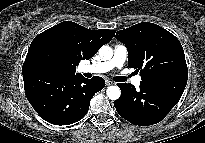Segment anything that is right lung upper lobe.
Masks as SVG:
<instances>
[{
    "label": "right lung upper lobe",
    "instance_id": "1",
    "mask_svg": "<svg viewBox=\"0 0 205 143\" xmlns=\"http://www.w3.org/2000/svg\"><path fill=\"white\" fill-rule=\"evenodd\" d=\"M115 32L107 29L90 30L75 22L64 21L42 32L32 42L46 37L62 41L72 51L75 67L71 73H75L80 60L93 57L102 45L113 38ZM29 63L26 59L23 66Z\"/></svg>",
    "mask_w": 205,
    "mask_h": 143
}]
</instances>
